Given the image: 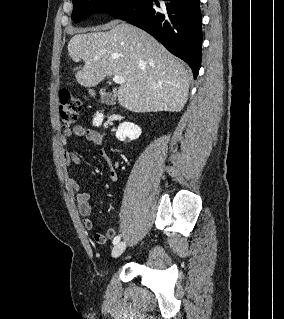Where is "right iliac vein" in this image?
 Instances as JSON below:
<instances>
[{"label": "right iliac vein", "instance_id": "right-iliac-vein-1", "mask_svg": "<svg viewBox=\"0 0 284 319\" xmlns=\"http://www.w3.org/2000/svg\"><path fill=\"white\" fill-rule=\"evenodd\" d=\"M126 249V242L122 241L117 243L112 249V257H119Z\"/></svg>", "mask_w": 284, "mask_h": 319}]
</instances>
